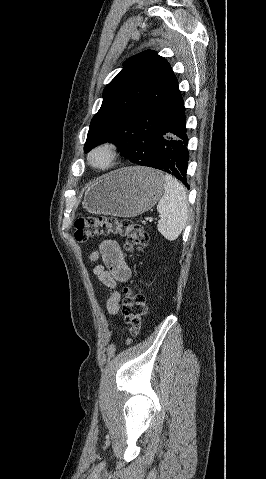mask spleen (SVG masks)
I'll return each mask as SVG.
<instances>
[{"mask_svg":"<svg viewBox=\"0 0 266 479\" xmlns=\"http://www.w3.org/2000/svg\"><path fill=\"white\" fill-rule=\"evenodd\" d=\"M164 193L157 205L161 215L157 229L169 240H176L184 230L188 216L187 194L184 186L173 176L165 175Z\"/></svg>","mask_w":266,"mask_h":479,"instance_id":"obj_1","label":"spleen"}]
</instances>
